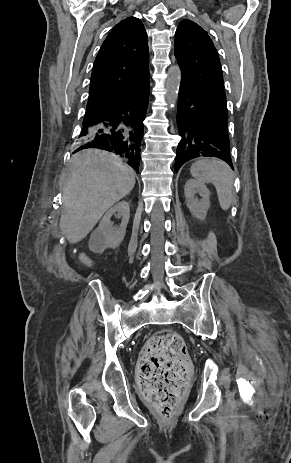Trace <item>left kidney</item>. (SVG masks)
I'll return each mask as SVG.
<instances>
[{"mask_svg": "<svg viewBox=\"0 0 291 463\" xmlns=\"http://www.w3.org/2000/svg\"><path fill=\"white\" fill-rule=\"evenodd\" d=\"M199 194L201 199L195 198ZM186 205L191 214L199 220H205L207 211L210 208V192L206 185L199 181L190 179L184 186Z\"/></svg>", "mask_w": 291, "mask_h": 463, "instance_id": "left-kidney-1", "label": "left kidney"}]
</instances>
